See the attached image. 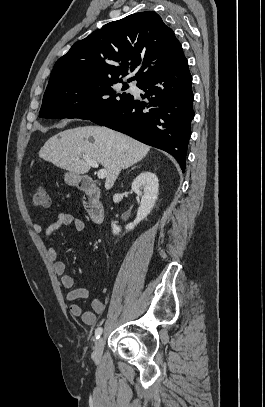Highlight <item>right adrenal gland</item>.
I'll return each mask as SVG.
<instances>
[{
	"mask_svg": "<svg viewBox=\"0 0 265 407\" xmlns=\"http://www.w3.org/2000/svg\"><path fill=\"white\" fill-rule=\"evenodd\" d=\"M136 167H138V166L133 167L131 170L135 169Z\"/></svg>",
	"mask_w": 265,
	"mask_h": 407,
	"instance_id": "right-adrenal-gland-1",
	"label": "right adrenal gland"
}]
</instances>
